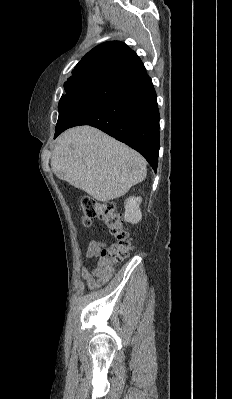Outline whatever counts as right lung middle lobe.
Returning a JSON list of instances; mask_svg holds the SVG:
<instances>
[{"instance_id": "obj_1", "label": "right lung middle lobe", "mask_w": 232, "mask_h": 399, "mask_svg": "<svg viewBox=\"0 0 232 399\" xmlns=\"http://www.w3.org/2000/svg\"><path fill=\"white\" fill-rule=\"evenodd\" d=\"M101 81L102 80H99V79L87 78V79H75V80L65 82L64 89H65L66 93L64 95H62V97L59 101V105H58L59 110L68 101L76 99L77 97L82 95L85 91L94 87Z\"/></svg>"}]
</instances>
